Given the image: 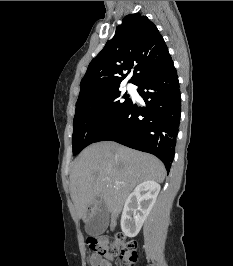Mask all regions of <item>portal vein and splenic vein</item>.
Wrapping results in <instances>:
<instances>
[{"label": "portal vein and splenic vein", "mask_w": 233, "mask_h": 266, "mask_svg": "<svg viewBox=\"0 0 233 266\" xmlns=\"http://www.w3.org/2000/svg\"><path fill=\"white\" fill-rule=\"evenodd\" d=\"M105 181H106V182H109V181H110V179H109V178H107V179H105ZM121 184H122V183H121V182H119V181H116V182H115V185H117V186H118V185H121Z\"/></svg>", "instance_id": "1"}]
</instances>
